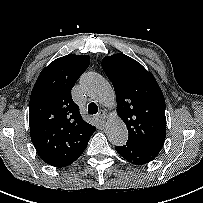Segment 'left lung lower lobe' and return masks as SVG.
I'll list each match as a JSON object with an SVG mask.
<instances>
[{
    "label": "left lung lower lobe",
    "instance_id": "obj_1",
    "mask_svg": "<svg viewBox=\"0 0 203 203\" xmlns=\"http://www.w3.org/2000/svg\"><path fill=\"white\" fill-rule=\"evenodd\" d=\"M115 149L123 158L135 165L146 164L157 157L159 153L132 141H127L123 146H116Z\"/></svg>",
    "mask_w": 203,
    "mask_h": 203
}]
</instances>
